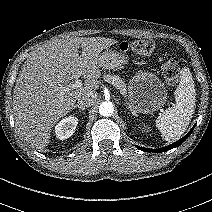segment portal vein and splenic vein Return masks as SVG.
Wrapping results in <instances>:
<instances>
[{
  "instance_id": "18ae733b",
  "label": "portal vein and splenic vein",
  "mask_w": 212,
  "mask_h": 212,
  "mask_svg": "<svg viewBox=\"0 0 212 212\" xmlns=\"http://www.w3.org/2000/svg\"><path fill=\"white\" fill-rule=\"evenodd\" d=\"M82 85H83V84H82L81 80L76 79V80H75V83L69 84V85H66V86H63V87H61V89H62L63 91H68V90H71V89H79V88L82 87Z\"/></svg>"
}]
</instances>
